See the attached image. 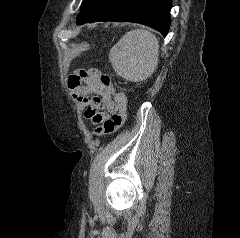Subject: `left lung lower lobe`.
<instances>
[{
    "label": "left lung lower lobe",
    "instance_id": "left-lung-lower-lobe-1",
    "mask_svg": "<svg viewBox=\"0 0 240 238\" xmlns=\"http://www.w3.org/2000/svg\"><path fill=\"white\" fill-rule=\"evenodd\" d=\"M170 0H91L77 24L96 21L134 22L150 26L163 36L170 27Z\"/></svg>",
    "mask_w": 240,
    "mask_h": 238
}]
</instances>
